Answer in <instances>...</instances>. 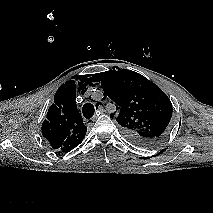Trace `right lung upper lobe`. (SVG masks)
Masks as SVG:
<instances>
[{
	"mask_svg": "<svg viewBox=\"0 0 213 213\" xmlns=\"http://www.w3.org/2000/svg\"><path fill=\"white\" fill-rule=\"evenodd\" d=\"M75 81L62 84L54 95V103L42 124V135L52 148L68 152L85 137L87 127L76 106Z\"/></svg>",
	"mask_w": 213,
	"mask_h": 213,
	"instance_id": "obj_1",
	"label": "right lung upper lobe"
}]
</instances>
